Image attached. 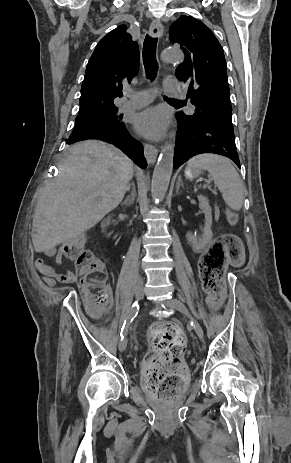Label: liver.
I'll return each instance as SVG.
<instances>
[{
    "mask_svg": "<svg viewBox=\"0 0 291 463\" xmlns=\"http://www.w3.org/2000/svg\"><path fill=\"white\" fill-rule=\"evenodd\" d=\"M133 177L132 161L98 140L72 145L56 179L41 192L32 224L37 252L52 256L55 247L94 227L123 200Z\"/></svg>",
    "mask_w": 291,
    "mask_h": 463,
    "instance_id": "6515ba94",
    "label": "liver"
}]
</instances>
